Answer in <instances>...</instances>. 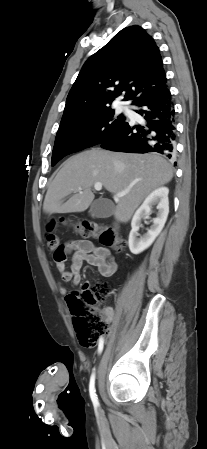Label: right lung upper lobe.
<instances>
[{"label":"right lung upper lobe","mask_w":207,"mask_h":449,"mask_svg":"<svg viewBox=\"0 0 207 449\" xmlns=\"http://www.w3.org/2000/svg\"><path fill=\"white\" fill-rule=\"evenodd\" d=\"M167 90L160 50L140 26L118 32L84 63L62 119L109 108L120 95L132 104Z\"/></svg>","instance_id":"obj_1"}]
</instances>
